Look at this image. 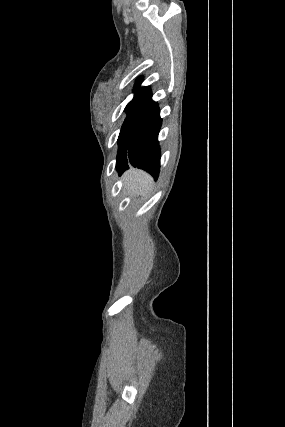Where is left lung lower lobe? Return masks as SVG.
<instances>
[{
	"mask_svg": "<svg viewBox=\"0 0 285 427\" xmlns=\"http://www.w3.org/2000/svg\"><path fill=\"white\" fill-rule=\"evenodd\" d=\"M162 124L157 102L151 101L127 126L118 139L116 169L121 174L129 164L155 179L160 169L158 133Z\"/></svg>",
	"mask_w": 285,
	"mask_h": 427,
	"instance_id": "obj_1",
	"label": "left lung lower lobe"
}]
</instances>
